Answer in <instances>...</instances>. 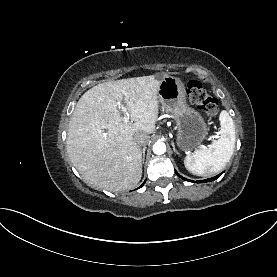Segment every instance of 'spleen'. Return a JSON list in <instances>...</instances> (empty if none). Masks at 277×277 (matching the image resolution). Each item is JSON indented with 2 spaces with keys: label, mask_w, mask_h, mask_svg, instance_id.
<instances>
[{
  "label": "spleen",
  "mask_w": 277,
  "mask_h": 277,
  "mask_svg": "<svg viewBox=\"0 0 277 277\" xmlns=\"http://www.w3.org/2000/svg\"><path fill=\"white\" fill-rule=\"evenodd\" d=\"M220 137L209 148L196 150L184 159L186 169L197 176H212L221 171L229 162L235 148V126L226 110L221 111Z\"/></svg>",
  "instance_id": "3e777b00"
}]
</instances>
